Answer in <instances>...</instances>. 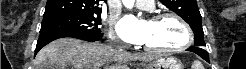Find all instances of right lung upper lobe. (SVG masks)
I'll return each instance as SVG.
<instances>
[{
    "label": "right lung upper lobe",
    "instance_id": "1",
    "mask_svg": "<svg viewBox=\"0 0 246 69\" xmlns=\"http://www.w3.org/2000/svg\"><path fill=\"white\" fill-rule=\"evenodd\" d=\"M107 2L106 0H104ZM100 0H48L43 17L60 14L100 15Z\"/></svg>",
    "mask_w": 246,
    "mask_h": 69
}]
</instances>
